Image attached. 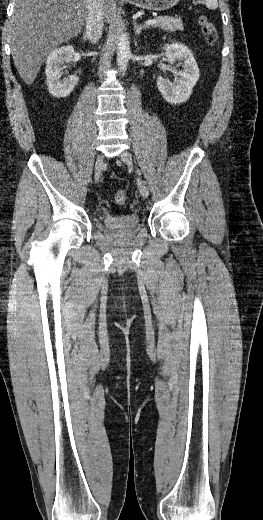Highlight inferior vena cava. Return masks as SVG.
Instances as JSON below:
<instances>
[{
	"label": "inferior vena cava",
	"mask_w": 263,
	"mask_h": 520,
	"mask_svg": "<svg viewBox=\"0 0 263 520\" xmlns=\"http://www.w3.org/2000/svg\"><path fill=\"white\" fill-rule=\"evenodd\" d=\"M86 37L96 43L102 35L104 12L103 0H87Z\"/></svg>",
	"instance_id": "obj_1"
}]
</instances>
